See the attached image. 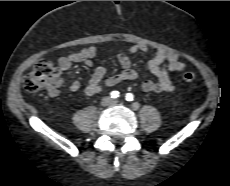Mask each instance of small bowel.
Listing matches in <instances>:
<instances>
[{"mask_svg":"<svg viewBox=\"0 0 230 186\" xmlns=\"http://www.w3.org/2000/svg\"><path fill=\"white\" fill-rule=\"evenodd\" d=\"M149 51L148 46L144 44H134L125 52H120L117 55L118 62L121 66V72L106 77L107 69L104 66H98L94 69L88 83L84 87V93L87 96H93L100 93L105 87H113L122 81L135 80L138 78V72L132 67L131 56ZM97 54V49L94 46H87L78 51L71 52L58 59V64L64 70L71 81L68 85L70 91H78L81 88V83L74 76L72 65L82 62L88 67H93L94 58ZM150 73L156 78L146 80L142 83V89L145 92H172L176 86L170 79V72H180L185 68V63L180 57L174 53L164 49H157L155 54L148 63ZM56 95V94H55Z\"/></svg>","mask_w":230,"mask_h":186,"instance_id":"small-bowel-1","label":"small bowel"}]
</instances>
